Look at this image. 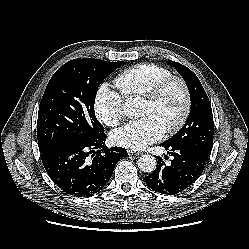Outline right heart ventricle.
<instances>
[{"instance_id": "right-heart-ventricle-1", "label": "right heart ventricle", "mask_w": 249, "mask_h": 249, "mask_svg": "<svg viewBox=\"0 0 249 249\" xmlns=\"http://www.w3.org/2000/svg\"><path fill=\"white\" fill-rule=\"evenodd\" d=\"M169 69L152 63H142L126 69L114 80L124 98L142 96L159 81L171 76Z\"/></svg>"}]
</instances>
